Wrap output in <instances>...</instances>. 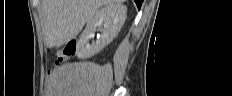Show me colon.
Wrapping results in <instances>:
<instances>
[{"label":"colon","mask_w":232,"mask_h":96,"mask_svg":"<svg viewBox=\"0 0 232 96\" xmlns=\"http://www.w3.org/2000/svg\"><path fill=\"white\" fill-rule=\"evenodd\" d=\"M76 42L71 40L65 44V46L57 52L59 61L67 60L75 55Z\"/></svg>","instance_id":"5ec220e1"}]
</instances>
